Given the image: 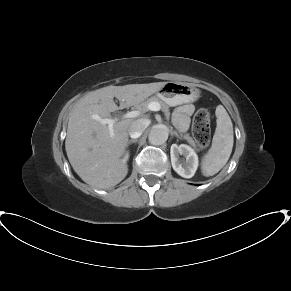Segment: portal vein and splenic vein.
Returning a JSON list of instances; mask_svg holds the SVG:
<instances>
[{"label":"portal vein and splenic vein","mask_w":291,"mask_h":291,"mask_svg":"<svg viewBox=\"0 0 291 291\" xmlns=\"http://www.w3.org/2000/svg\"><path fill=\"white\" fill-rule=\"evenodd\" d=\"M147 109L151 111H159L161 109V105L158 102H151L148 104ZM140 114H141L140 111L134 110L127 112L122 116V118L123 119L135 118L138 117ZM94 119L98 120L103 125H108L110 136L111 137L114 136L113 125L118 121L117 118H100L99 116L96 115L94 116Z\"/></svg>","instance_id":"portal-vein-and-splenic-vein-1"}]
</instances>
